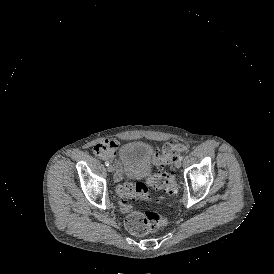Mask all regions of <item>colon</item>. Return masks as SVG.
<instances>
[{
	"mask_svg": "<svg viewBox=\"0 0 274 274\" xmlns=\"http://www.w3.org/2000/svg\"><path fill=\"white\" fill-rule=\"evenodd\" d=\"M186 150L184 141L169 140L161 147V150L154 157V164L157 167H168L171 164V156L177 155L179 152ZM104 152V151H93ZM162 190L167 194L173 195L177 191V184L173 172L164 169L156 172L155 175L144 181L123 184L119 188L121 198L136 194L145 197L148 193V187ZM166 224V220L162 218L155 210L146 209L141 212H134L128 215L124 220L125 229L134 236L141 237L149 233L155 232Z\"/></svg>",
	"mask_w": 274,
	"mask_h": 274,
	"instance_id": "1",
	"label": "colon"
}]
</instances>
